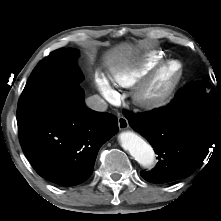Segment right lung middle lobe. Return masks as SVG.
Segmentation results:
<instances>
[{"instance_id":"1","label":"right lung middle lobe","mask_w":221,"mask_h":221,"mask_svg":"<svg viewBox=\"0 0 221 221\" xmlns=\"http://www.w3.org/2000/svg\"><path fill=\"white\" fill-rule=\"evenodd\" d=\"M79 51L61 48L41 60L32 71L17 108L18 130L49 114L84 79L76 59Z\"/></svg>"}]
</instances>
